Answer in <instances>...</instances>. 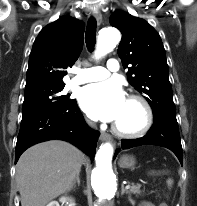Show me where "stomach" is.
Returning a JSON list of instances; mask_svg holds the SVG:
<instances>
[{"label": "stomach", "mask_w": 197, "mask_h": 206, "mask_svg": "<svg viewBox=\"0 0 197 206\" xmlns=\"http://www.w3.org/2000/svg\"><path fill=\"white\" fill-rule=\"evenodd\" d=\"M135 164H136V161L134 157H131V156L124 155L119 160V166L121 168L134 169Z\"/></svg>", "instance_id": "1"}]
</instances>
